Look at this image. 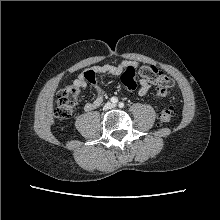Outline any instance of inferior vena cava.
<instances>
[{
  "mask_svg": "<svg viewBox=\"0 0 220 220\" xmlns=\"http://www.w3.org/2000/svg\"><path fill=\"white\" fill-rule=\"evenodd\" d=\"M113 107V105H109V106H107L106 108L107 109H110V108H112Z\"/></svg>",
  "mask_w": 220,
  "mask_h": 220,
  "instance_id": "1",
  "label": "inferior vena cava"
}]
</instances>
